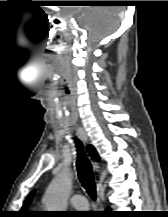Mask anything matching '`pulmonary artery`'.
<instances>
[{
  "label": "pulmonary artery",
  "instance_id": "pulmonary-artery-1",
  "mask_svg": "<svg viewBox=\"0 0 168 217\" xmlns=\"http://www.w3.org/2000/svg\"><path fill=\"white\" fill-rule=\"evenodd\" d=\"M70 203L77 210H83V209H86L88 207L86 198L82 194H74L70 198Z\"/></svg>",
  "mask_w": 168,
  "mask_h": 217
}]
</instances>
